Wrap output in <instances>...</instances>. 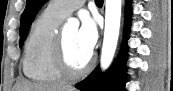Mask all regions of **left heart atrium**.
Masks as SVG:
<instances>
[{
    "label": "left heart atrium",
    "mask_w": 173,
    "mask_h": 91,
    "mask_svg": "<svg viewBox=\"0 0 173 91\" xmlns=\"http://www.w3.org/2000/svg\"><path fill=\"white\" fill-rule=\"evenodd\" d=\"M98 40L96 23L89 15L81 19V26L77 31V42L79 48L89 56L93 52Z\"/></svg>",
    "instance_id": "left-heart-atrium-1"
}]
</instances>
